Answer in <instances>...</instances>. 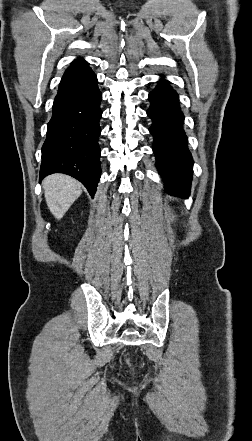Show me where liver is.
Listing matches in <instances>:
<instances>
[{
  "instance_id": "1",
  "label": "liver",
  "mask_w": 252,
  "mask_h": 441,
  "mask_svg": "<svg viewBox=\"0 0 252 441\" xmlns=\"http://www.w3.org/2000/svg\"><path fill=\"white\" fill-rule=\"evenodd\" d=\"M42 186L47 206L58 220L64 216L82 193L81 183L64 174H53L46 177Z\"/></svg>"
}]
</instances>
